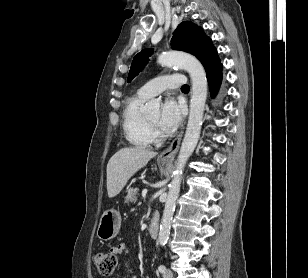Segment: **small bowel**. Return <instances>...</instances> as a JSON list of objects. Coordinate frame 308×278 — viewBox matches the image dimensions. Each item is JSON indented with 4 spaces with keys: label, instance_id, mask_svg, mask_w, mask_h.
Here are the masks:
<instances>
[{
    "label": "small bowel",
    "instance_id": "small-bowel-1",
    "mask_svg": "<svg viewBox=\"0 0 308 278\" xmlns=\"http://www.w3.org/2000/svg\"><path fill=\"white\" fill-rule=\"evenodd\" d=\"M110 251L115 255H123L129 252V248L126 242L122 241L117 245L113 246ZM132 278H138L137 276H132Z\"/></svg>",
    "mask_w": 308,
    "mask_h": 278
}]
</instances>
